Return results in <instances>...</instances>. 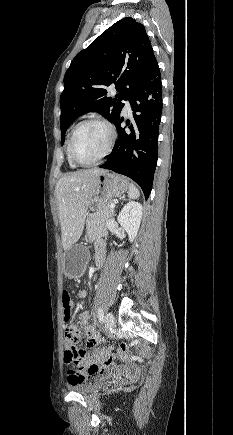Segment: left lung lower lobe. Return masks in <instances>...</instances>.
<instances>
[{
  "label": "left lung lower lobe",
  "mask_w": 233,
  "mask_h": 435,
  "mask_svg": "<svg viewBox=\"0 0 233 435\" xmlns=\"http://www.w3.org/2000/svg\"><path fill=\"white\" fill-rule=\"evenodd\" d=\"M133 119L128 129L121 127L123 117L114 125L118 132L109 160L100 168L112 170L133 179L148 199L158 159V130L162 114V84L158 64L129 99Z\"/></svg>",
  "instance_id": "1"
}]
</instances>
